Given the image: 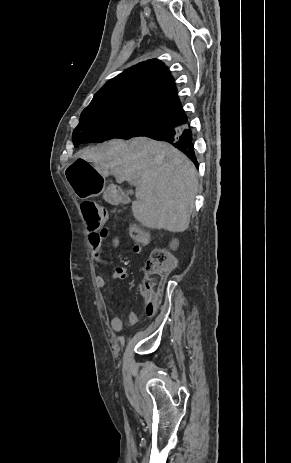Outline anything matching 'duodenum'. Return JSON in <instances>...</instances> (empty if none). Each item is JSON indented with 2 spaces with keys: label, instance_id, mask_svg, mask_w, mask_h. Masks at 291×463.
Returning <instances> with one entry per match:
<instances>
[{
  "label": "duodenum",
  "instance_id": "1",
  "mask_svg": "<svg viewBox=\"0 0 291 463\" xmlns=\"http://www.w3.org/2000/svg\"><path fill=\"white\" fill-rule=\"evenodd\" d=\"M118 195L120 196V201H121V202H123V201L126 200L125 197H124L123 195H120L119 193H118Z\"/></svg>",
  "mask_w": 291,
  "mask_h": 463
}]
</instances>
